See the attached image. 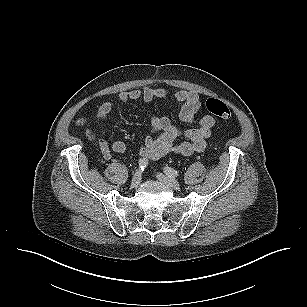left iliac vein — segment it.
Instances as JSON below:
<instances>
[{
  "instance_id": "4c4485c4",
  "label": "left iliac vein",
  "mask_w": 307,
  "mask_h": 307,
  "mask_svg": "<svg viewBox=\"0 0 307 307\" xmlns=\"http://www.w3.org/2000/svg\"><path fill=\"white\" fill-rule=\"evenodd\" d=\"M157 179L161 181L163 184H165L167 187L173 189V190H179L180 184L175 179L168 178L166 175L162 173H158L156 175Z\"/></svg>"
}]
</instances>
